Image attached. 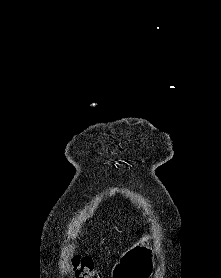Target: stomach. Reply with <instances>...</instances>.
Listing matches in <instances>:
<instances>
[{
  "label": "stomach",
  "instance_id": "0dacf381",
  "mask_svg": "<svg viewBox=\"0 0 221 278\" xmlns=\"http://www.w3.org/2000/svg\"><path fill=\"white\" fill-rule=\"evenodd\" d=\"M153 252L149 246V236L143 235L129 250L113 264L114 278H148L152 275Z\"/></svg>",
  "mask_w": 221,
  "mask_h": 278
}]
</instances>
